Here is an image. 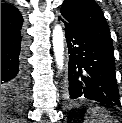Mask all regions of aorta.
I'll return each mask as SVG.
<instances>
[{
  "label": "aorta",
  "instance_id": "762f6f07",
  "mask_svg": "<svg viewBox=\"0 0 122 123\" xmlns=\"http://www.w3.org/2000/svg\"><path fill=\"white\" fill-rule=\"evenodd\" d=\"M52 43L57 68L62 70L64 66V34L60 25H56L53 29Z\"/></svg>",
  "mask_w": 122,
  "mask_h": 123
}]
</instances>
